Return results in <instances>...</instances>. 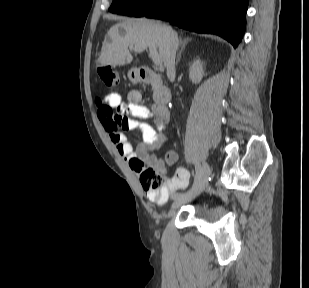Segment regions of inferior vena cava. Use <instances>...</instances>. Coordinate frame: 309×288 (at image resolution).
Instances as JSON below:
<instances>
[{"instance_id": "obj_1", "label": "inferior vena cava", "mask_w": 309, "mask_h": 288, "mask_svg": "<svg viewBox=\"0 0 309 288\" xmlns=\"http://www.w3.org/2000/svg\"><path fill=\"white\" fill-rule=\"evenodd\" d=\"M177 47H178V40L172 34L171 44L166 59L167 76L171 81H173L175 77V56Z\"/></svg>"}]
</instances>
